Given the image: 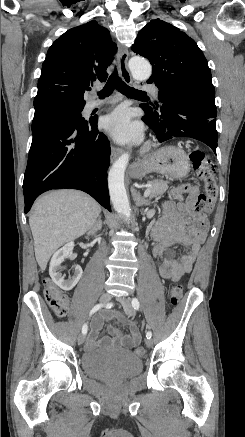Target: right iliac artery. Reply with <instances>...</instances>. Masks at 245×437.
I'll return each instance as SVG.
<instances>
[{
  "label": "right iliac artery",
  "instance_id": "1",
  "mask_svg": "<svg viewBox=\"0 0 245 437\" xmlns=\"http://www.w3.org/2000/svg\"><path fill=\"white\" fill-rule=\"evenodd\" d=\"M104 305L103 304H97V305H95L93 308H92V310L90 311V316L92 315V314H94L95 312H97L100 308H102ZM107 307H111V304H107L106 305ZM87 331H88V325H87V323H85L84 325H83V327H82V333L83 334H86L87 333Z\"/></svg>",
  "mask_w": 245,
  "mask_h": 437
}]
</instances>
